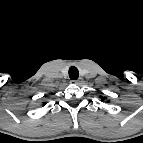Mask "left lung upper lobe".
<instances>
[{"mask_svg": "<svg viewBox=\"0 0 143 143\" xmlns=\"http://www.w3.org/2000/svg\"><path fill=\"white\" fill-rule=\"evenodd\" d=\"M102 100H105V97H101Z\"/></svg>", "mask_w": 143, "mask_h": 143, "instance_id": "1", "label": "left lung upper lobe"}]
</instances>
